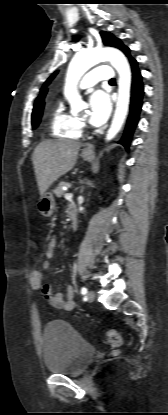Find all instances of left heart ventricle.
Masks as SVG:
<instances>
[{
	"instance_id": "1",
	"label": "left heart ventricle",
	"mask_w": 168,
	"mask_h": 415,
	"mask_svg": "<svg viewBox=\"0 0 168 415\" xmlns=\"http://www.w3.org/2000/svg\"><path fill=\"white\" fill-rule=\"evenodd\" d=\"M87 116H88L87 114H86V115H84V116L82 117V119H83V120H85V119L87 118Z\"/></svg>"
}]
</instances>
